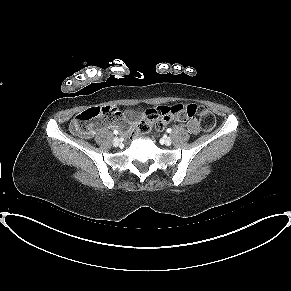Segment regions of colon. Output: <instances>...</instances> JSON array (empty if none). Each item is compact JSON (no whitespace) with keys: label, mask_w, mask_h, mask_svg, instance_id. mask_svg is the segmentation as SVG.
<instances>
[{"label":"colon","mask_w":291,"mask_h":291,"mask_svg":"<svg viewBox=\"0 0 291 291\" xmlns=\"http://www.w3.org/2000/svg\"><path fill=\"white\" fill-rule=\"evenodd\" d=\"M177 115L198 116L200 125L205 131H211L216 124L215 116L205 106L194 104L186 107L161 106L149 112L146 119L139 123L137 132L146 134L151 131L152 126L157 130H162L165 124ZM119 117L120 112L113 106H93L77 114L70 124V129L74 134L90 137L98 125Z\"/></svg>","instance_id":"colon-1"}]
</instances>
